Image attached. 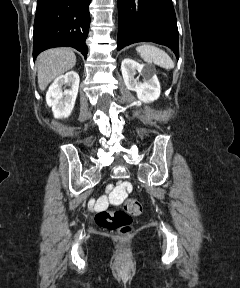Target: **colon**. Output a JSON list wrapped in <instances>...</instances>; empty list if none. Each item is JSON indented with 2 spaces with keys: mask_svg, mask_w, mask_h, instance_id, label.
<instances>
[{
  "mask_svg": "<svg viewBox=\"0 0 240 288\" xmlns=\"http://www.w3.org/2000/svg\"><path fill=\"white\" fill-rule=\"evenodd\" d=\"M123 187L127 191L132 189L129 183H124ZM141 212V203L134 198H129L125 201L123 209L99 211L95 216V221L98 226L105 230L127 232L130 229L132 218L140 215Z\"/></svg>",
  "mask_w": 240,
  "mask_h": 288,
  "instance_id": "1",
  "label": "colon"
}]
</instances>
